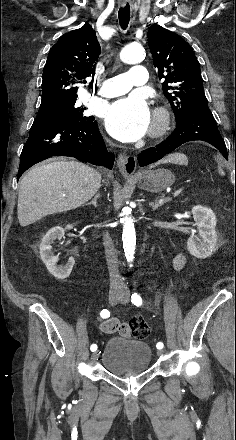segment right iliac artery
Masks as SVG:
<instances>
[{"label":"right iliac artery","mask_w":236,"mask_h":440,"mask_svg":"<svg viewBox=\"0 0 236 440\" xmlns=\"http://www.w3.org/2000/svg\"><path fill=\"white\" fill-rule=\"evenodd\" d=\"M100 316L102 317V318H108V317H110V312H109V310H107V309H103L101 312H100ZM90 350L93 352V351H96L97 350V345L96 344H92L91 345V347H90Z\"/></svg>","instance_id":"obj_1"}]
</instances>
